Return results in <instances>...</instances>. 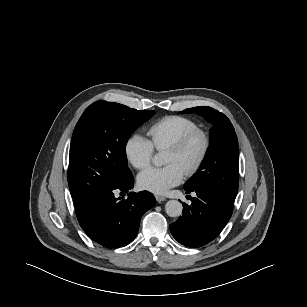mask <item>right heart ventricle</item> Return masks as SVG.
Masks as SVG:
<instances>
[{
    "instance_id": "e07e8e85",
    "label": "right heart ventricle",
    "mask_w": 307,
    "mask_h": 307,
    "mask_svg": "<svg viewBox=\"0 0 307 307\" xmlns=\"http://www.w3.org/2000/svg\"><path fill=\"white\" fill-rule=\"evenodd\" d=\"M195 128H197V123L193 119L171 115L152 124L148 129V135L153 147L162 151Z\"/></svg>"
}]
</instances>
